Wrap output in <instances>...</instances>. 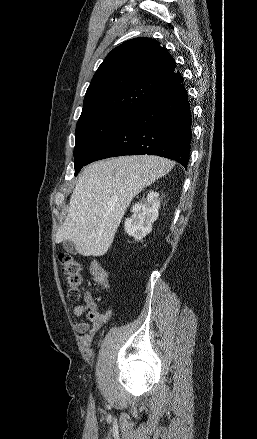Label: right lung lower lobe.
<instances>
[{
	"label": "right lung lower lobe",
	"mask_w": 257,
	"mask_h": 439,
	"mask_svg": "<svg viewBox=\"0 0 257 439\" xmlns=\"http://www.w3.org/2000/svg\"><path fill=\"white\" fill-rule=\"evenodd\" d=\"M190 142V105L181 83L127 116L84 165L108 157L149 154L175 160L186 168Z\"/></svg>",
	"instance_id": "obj_1"
}]
</instances>
